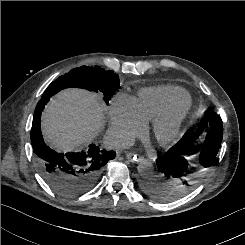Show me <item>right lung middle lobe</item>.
<instances>
[{
    "label": "right lung middle lobe",
    "mask_w": 245,
    "mask_h": 245,
    "mask_svg": "<svg viewBox=\"0 0 245 245\" xmlns=\"http://www.w3.org/2000/svg\"><path fill=\"white\" fill-rule=\"evenodd\" d=\"M119 86L117 74L102 68L83 66L73 69L53 81L43 93L42 98L50 97L65 88L77 87L102 93L104 101L108 104V100Z\"/></svg>",
    "instance_id": "right-lung-middle-lobe-1"
}]
</instances>
